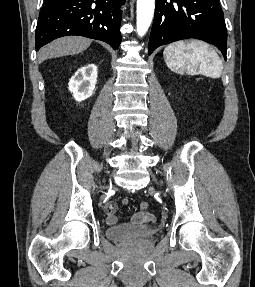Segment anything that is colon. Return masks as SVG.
<instances>
[{"mask_svg":"<svg viewBox=\"0 0 255 287\" xmlns=\"http://www.w3.org/2000/svg\"><path fill=\"white\" fill-rule=\"evenodd\" d=\"M140 208H141L142 210H147V209L149 208L148 202L142 201V202L140 203Z\"/></svg>","mask_w":255,"mask_h":287,"instance_id":"1","label":"colon"}]
</instances>
